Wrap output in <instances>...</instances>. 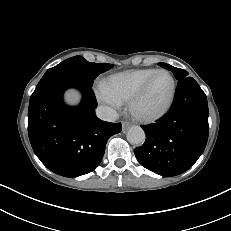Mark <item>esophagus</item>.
Here are the masks:
<instances>
[{"label":"esophagus","instance_id":"34e87169","mask_svg":"<svg viewBox=\"0 0 231 231\" xmlns=\"http://www.w3.org/2000/svg\"><path fill=\"white\" fill-rule=\"evenodd\" d=\"M129 123H127V122H123L122 123V131L123 132H126V130L129 128Z\"/></svg>","mask_w":231,"mask_h":231}]
</instances>
